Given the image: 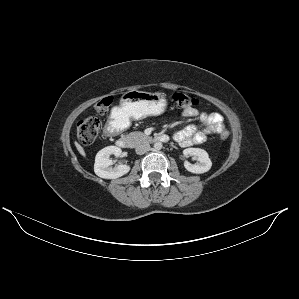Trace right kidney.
<instances>
[{"label": "right kidney", "instance_id": "right-kidney-1", "mask_svg": "<svg viewBox=\"0 0 299 299\" xmlns=\"http://www.w3.org/2000/svg\"><path fill=\"white\" fill-rule=\"evenodd\" d=\"M122 154L121 148L117 146H107L101 149L95 157L94 172L97 176L104 179H116L130 171V166L126 164L111 167L113 161L111 155L119 157Z\"/></svg>", "mask_w": 299, "mask_h": 299}]
</instances>
